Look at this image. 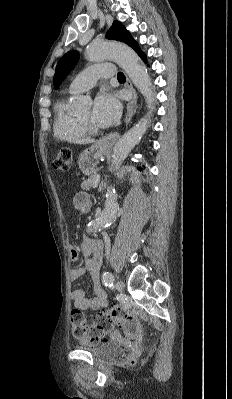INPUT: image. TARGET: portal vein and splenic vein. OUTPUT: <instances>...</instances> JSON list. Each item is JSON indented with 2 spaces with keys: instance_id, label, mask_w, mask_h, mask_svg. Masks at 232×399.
I'll list each match as a JSON object with an SVG mask.
<instances>
[{
  "instance_id": "obj_1",
  "label": "portal vein and splenic vein",
  "mask_w": 232,
  "mask_h": 399,
  "mask_svg": "<svg viewBox=\"0 0 232 399\" xmlns=\"http://www.w3.org/2000/svg\"><path fill=\"white\" fill-rule=\"evenodd\" d=\"M99 180H100V176H99V174H97V176H95V180H94V182H95L94 188H96V186H98Z\"/></svg>"
}]
</instances>
